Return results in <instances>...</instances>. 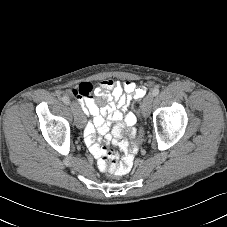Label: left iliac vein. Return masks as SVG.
I'll use <instances>...</instances> for the list:
<instances>
[{
  "instance_id": "obj_1",
  "label": "left iliac vein",
  "mask_w": 227,
  "mask_h": 227,
  "mask_svg": "<svg viewBox=\"0 0 227 227\" xmlns=\"http://www.w3.org/2000/svg\"><path fill=\"white\" fill-rule=\"evenodd\" d=\"M153 97H154L153 94L150 93L143 100V103H142V113H143V116L145 118L148 117L149 114H150L151 106H152V102H153Z\"/></svg>"
}]
</instances>
